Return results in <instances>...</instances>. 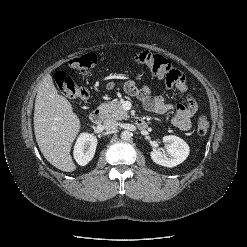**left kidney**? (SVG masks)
Instances as JSON below:
<instances>
[{"label":"left kidney","mask_w":247,"mask_h":247,"mask_svg":"<svg viewBox=\"0 0 247 247\" xmlns=\"http://www.w3.org/2000/svg\"><path fill=\"white\" fill-rule=\"evenodd\" d=\"M163 142L167 151L166 154L157 149H153L150 153L152 160L156 164L171 168L186 160L190 148L183 139L174 135H168L163 137Z\"/></svg>","instance_id":"1"}]
</instances>
